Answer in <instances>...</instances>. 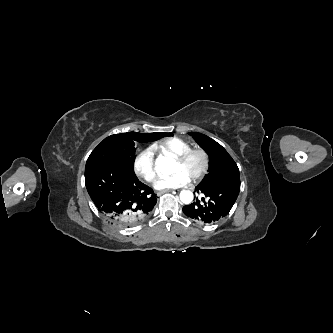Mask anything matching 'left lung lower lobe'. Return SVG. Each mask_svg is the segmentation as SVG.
Here are the masks:
<instances>
[{
    "label": "left lung lower lobe",
    "mask_w": 333,
    "mask_h": 333,
    "mask_svg": "<svg viewBox=\"0 0 333 333\" xmlns=\"http://www.w3.org/2000/svg\"><path fill=\"white\" fill-rule=\"evenodd\" d=\"M195 191L208 197V202L200 204L197 200L196 203L186 205L183 207L184 214L200 223L212 224L230 212L240 191V178L217 182L207 187L197 186Z\"/></svg>",
    "instance_id": "left-lung-lower-lobe-1"
}]
</instances>
